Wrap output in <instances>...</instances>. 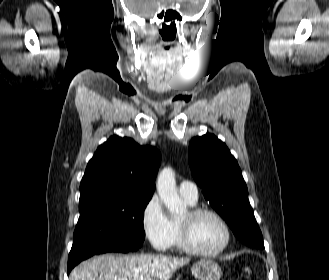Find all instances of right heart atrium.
Masks as SVG:
<instances>
[{"instance_id":"1","label":"right heart atrium","mask_w":329,"mask_h":280,"mask_svg":"<svg viewBox=\"0 0 329 280\" xmlns=\"http://www.w3.org/2000/svg\"><path fill=\"white\" fill-rule=\"evenodd\" d=\"M141 226L146 239L154 248L167 250L172 246L173 223L157 195H153L144 205L141 213Z\"/></svg>"}]
</instances>
